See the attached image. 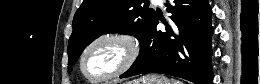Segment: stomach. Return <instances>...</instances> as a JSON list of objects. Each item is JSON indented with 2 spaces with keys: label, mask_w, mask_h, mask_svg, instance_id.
I'll use <instances>...</instances> for the list:
<instances>
[{
  "label": "stomach",
  "mask_w": 260,
  "mask_h": 84,
  "mask_svg": "<svg viewBox=\"0 0 260 84\" xmlns=\"http://www.w3.org/2000/svg\"><path fill=\"white\" fill-rule=\"evenodd\" d=\"M125 84H171L169 79L161 74H147L141 78L126 82Z\"/></svg>",
  "instance_id": "obj_1"
}]
</instances>
